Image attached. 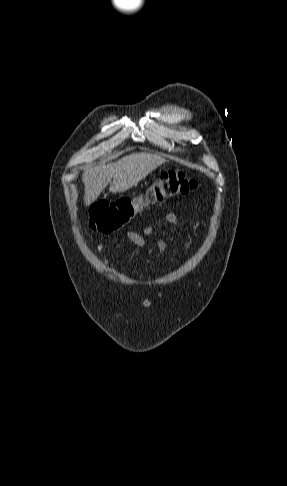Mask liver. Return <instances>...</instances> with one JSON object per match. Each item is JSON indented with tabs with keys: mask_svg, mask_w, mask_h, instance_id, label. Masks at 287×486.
<instances>
[{
	"mask_svg": "<svg viewBox=\"0 0 287 486\" xmlns=\"http://www.w3.org/2000/svg\"><path fill=\"white\" fill-rule=\"evenodd\" d=\"M165 159L158 155L130 154L108 165H91L83 173L85 185L84 202L91 205L113 178L109 191L124 192L137 185L152 170L163 164Z\"/></svg>",
	"mask_w": 287,
	"mask_h": 486,
	"instance_id": "1",
	"label": "liver"
}]
</instances>
